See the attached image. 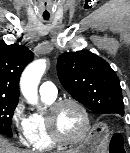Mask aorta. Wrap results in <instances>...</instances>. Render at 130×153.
Returning <instances> with one entry per match:
<instances>
[{
    "label": "aorta",
    "mask_w": 130,
    "mask_h": 153,
    "mask_svg": "<svg viewBox=\"0 0 130 153\" xmlns=\"http://www.w3.org/2000/svg\"><path fill=\"white\" fill-rule=\"evenodd\" d=\"M45 70L46 60L38 59L30 63L22 73L20 89L27 102L33 106H38V84Z\"/></svg>",
    "instance_id": "1"
}]
</instances>
